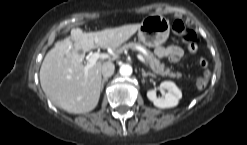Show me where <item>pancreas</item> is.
<instances>
[{
  "mask_svg": "<svg viewBox=\"0 0 247 145\" xmlns=\"http://www.w3.org/2000/svg\"><path fill=\"white\" fill-rule=\"evenodd\" d=\"M139 48H143L146 51V53H143L144 59L149 64L151 70L155 74L161 75V76L173 77V78L174 77H177V78L181 77V73L172 72L171 69L168 67H165V65L163 63H161L160 60L154 56L153 53L146 50L145 47L139 43L130 42V43L124 44L122 47L118 48L116 50V52L117 53H123L124 51H127L129 49L140 51Z\"/></svg>",
  "mask_w": 247,
  "mask_h": 145,
  "instance_id": "cf45deb5",
  "label": "pancreas"
}]
</instances>
